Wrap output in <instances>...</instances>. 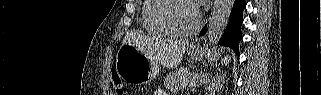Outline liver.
Wrapping results in <instances>:
<instances>
[{
    "label": "liver",
    "instance_id": "liver-1",
    "mask_svg": "<svg viewBox=\"0 0 321 95\" xmlns=\"http://www.w3.org/2000/svg\"><path fill=\"white\" fill-rule=\"evenodd\" d=\"M122 44H131L164 67L175 68L181 63L189 41L172 39L155 40L141 32L130 31L123 38Z\"/></svg>",
    "mask_w": 321,
    "mask_h": 95
}]
</instances>
